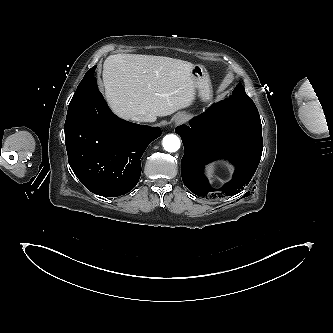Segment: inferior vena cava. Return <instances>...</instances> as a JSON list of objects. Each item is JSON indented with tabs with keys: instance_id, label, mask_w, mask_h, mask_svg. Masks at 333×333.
Wrapping results in <instances>:
<instances>
[{
	"instance_id": "1",
	"label": "inferior vena cava",
	"mask_w": 333,
	"mask_h": 333,
	"mask_svg": "<svg viewBox=\"0 0 333 333\" xmlns=\"http://www.w3.org/2000/svg\"><path fill=\"white\" fill-rule=\"evenodd\" d=\"M133 120H135L137 122H149V118L145 115H138V116L134 117Z\"/></svg>"
}]
</instances>
